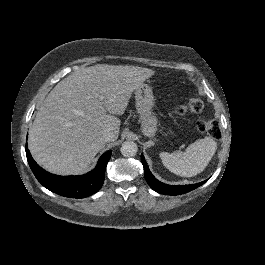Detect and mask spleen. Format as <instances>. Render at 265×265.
Returning <instances> with one entry per match:
<instances>
[{
	"mask_svg": "<svg viewBox=\"0 0 265 265\" xmlns=\"http://www.w3.org/2000/svg\"><path fill=\"white\" fill-rule=\"evenodd\" d=\"M217 144L206 137L190 144L185 152H161L160 158L163 165L172 173L183 177H192L201 173L212 156L215 154Z\"/></svg>",
	"mask_w": 265,
	"mask_h": 265,
	"instance_id": "1",
	"label": "spleen"
}]
</instances>
